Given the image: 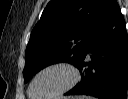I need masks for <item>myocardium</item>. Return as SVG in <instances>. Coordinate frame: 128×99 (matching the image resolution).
Masks as SVG:
<instances>
[{"instance_id": "myocardium-1", "label": "myocardium", "mask_w": 128, "mask_h": 99, "mask_svg": "<svg viewBox=\"0 0 128 99\" xmlns=\"http://www.w3.org/2000/svg\"><path fill=\"white\" fill-rule=\"evenodd\" d=\"M56 68H62V69H66L69 73H70V81L69 83L64 86L62 89H60L59 91H57L56 93L52 94V95H48V96H43V99H53V98H57L59 96L64 95L65 93L69 92L71 89H73L76 84L79 82L80 80V71L78 69V67L69 62V61H59V62H54L51 64H48L44 67H42L33 77V79L30 82L29 85V89H28V93L29 96L31 98H42V97H35L32 93V89L34 86V83L36 82L37 78L44 72L51 70V69H56Z\"/></svg>"}]
</instances>
